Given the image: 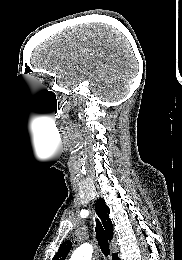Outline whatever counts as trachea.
Wrapping results in <instances>:
<instances>
[{
	"instance_id": "1",
	"label": "trachea",
	"mask_w": 182,
	"mask_h": 260,
	"mask_svg": "<svg viewBox=\"0 0 182 260\" xmlns=\"http://www.w3.org/2000/svg\"><path fill=\"white\" fill-rule=\"evenodd\" d=\"M95 232H96V238L98 241V245L101 249V252L105 257H107L110 254L109 242H108L107 235L103 229V226L98 219H96Z\"/></svg>"
}]
</instances>
